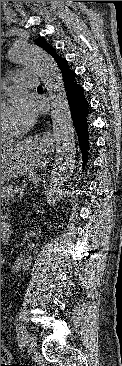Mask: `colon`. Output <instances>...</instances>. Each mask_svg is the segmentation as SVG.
Segmentation results:
<instances>
[{
  "label": "colon",
  "mask_w": 122,
  "mask_h": 366,
  "mask_svg": "<svg viewBox=\"0 0 122 366\" xmlns=\"http://www.w3.org/2000/svg\"><path fill=\"white\" fill-rule=\"evenodd\" d=\"M1 232H2V228H1ZM3 353V350L1 349V354Z\"/></svg>",
  "instance_id": "obj_1"
}]
</instances>
